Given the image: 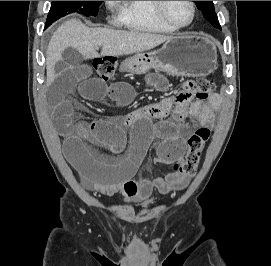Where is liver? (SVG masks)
Returning <instances> with one entry per match:
<instances>
[{
    "instance_id": "6515ba94",
    "label": "liver",
    "mask_w": 271,
    "mask_h": 266,
    "mask_svg": "<svg viewBox=\"0 0 271 266\" xmlns=\"http://www.w3.org/2000/svg\"><path fill=\"white\" fill-rule=\"evenodd\" d=\"M171 38L148 32L88 28L79 20H68L56 30L49 42L46 85L50 86L56 79L54 62L61 60L63 51L69 47L89 59L98 56L95 51L98 47H102V56H121L151 50Z\"/></svg>"
}]
</instances>
